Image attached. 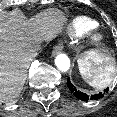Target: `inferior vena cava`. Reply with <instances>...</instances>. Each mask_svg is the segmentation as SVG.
Listing matches in <instances>:
<instances>
[{
    "label": "inferior vena cava",
    "instance_id": "inferior-vena-cava-1",
    "mask_svg": "<svg viewBox=\"0 0 117 117\" xmlns=\"http://www.w3.org/2000/svg\"><path fill=\"white\" fill-rule=\"evenodd\" d=\"M40 48H41V46L33 45V46L31 47V52H32L33 54H38V53L40 52Z\"/></svg>",
    "mask_w": 117,
    "mask_h": 117
}]
</instances>
